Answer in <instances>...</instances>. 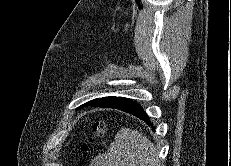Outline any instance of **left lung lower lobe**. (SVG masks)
<instances>
[{
    "mask_svg": "<svg viewBox=\"0 0 231 166\" xmlns=\"http://www.w3.org/2000/svg\"><path fill=\"white\" fill-rule=\"evenodd\" d=\"M89 106L119 109L127 113H130L142 119L147 124L153 126V123H151L148 115L142 109L140 104L129 98L115 96L102 97L95 99Z\"/></svg>",
    "mask_w": 231,
    "mask_h": 166,
    "instance_id": "0a47b994",
    "label": "left lung lower lobe"
}]
</instances>
